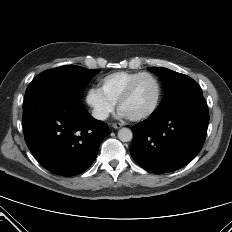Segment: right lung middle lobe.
Here are the masks:
<instances>
[{"mask_svg": "<svg viewBox=\"0 0 232 232\" xmlns=\"http://www.w3.org/2000/svg\"><path fill=\"white\" fill-rule=\"evenodd\" d=\"M80 66L65 65L42 72L29 84L24 98L28 104L43 97L80 99L90 79L99 72Z\"/></svg>", "mask_w": 232, "mask_h": 232, "instance_id": "obj_1", "label": "right lung middle lobe"}]
</instances>
